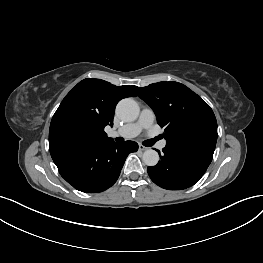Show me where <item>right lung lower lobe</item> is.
<instances>
[{
  "label": "right lung lower lobe",
  "mask_w": 263,
  "mask_h": 263,
  "mask_svg": "<svg viewBox=\"0 0 263 263\" xmlns=\"http://www.w3.org/2000/svg\"><path fill=\"white\" fill-rule=\"evenodd\" d=\"M138 144L112 139L53 159L61 176L74 188L87 193L102 192L118 179L127 156Z\"/></svg>",
  "instance_id": "1"
}]
</instances>
